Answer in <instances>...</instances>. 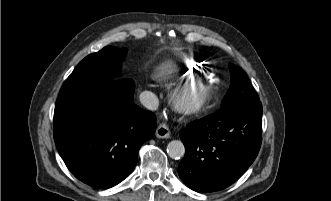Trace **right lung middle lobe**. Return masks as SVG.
<instances>
[{
	"label": "right lung middle lobe",
	"mask_w": 331,
	"mask_h": 201,
	"mask_svg": "<svg viewBox=\"0 0 331 201\" xmlns=\"http://www.w3.org/2000/svg\"><path fill=\"white\" fill-rule=\"evenodd\" d=\"M125 54L126 49L106 46L102 50L88 55L64 82L59 98L102 80L117 79L121 70V60Z\"/></svg>",
	"instance_id": "1"
}]
</instances>
